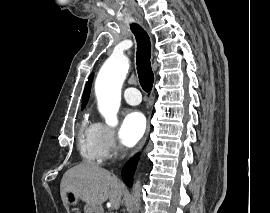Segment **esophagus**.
Returning <instances> with one entry per match:
<instances>
[{
    "label": "esophagus",
    "instance_id": "obj_1",
    "mask_svg": "<svg viewBox=\"0 0 270 213\" xmlns=\"http://www.w3.org/2000/svg\"><path fill=\"white\" fill-rule=\"evenodd\" d=\"M149 132H150V124L148 123L144 137L142 138V140L139 143V145L136 148V150L131 153L130 157L133 156L135 153H137L143 147V145L145 144V142H146V140L148 138Z\"/></svg>",
    "mask_w": 270,
    "mask_h": 213
}]
</instances>
